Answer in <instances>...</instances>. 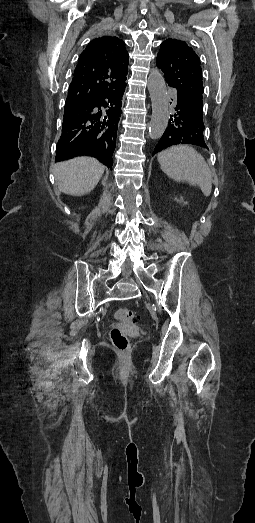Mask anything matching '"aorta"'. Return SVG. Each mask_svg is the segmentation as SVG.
Listing matches in <instances>:
<instances>
[{
  "mask_svg": "<svg viewBox=\"0 0 255 523\" xmlns=\"http://www.w3.org/2000/svg\"><path fill=\"white\" fill-rule=\"evenodd\" d=\"M147 84L152 105L149 135L151 139H159L163 135L169 121L167 88L164 78L158 69L150 71Z\"/></svg>",
  "mask_w": 255,
  "mask_h": 523,
  "instance_id": "aorta-1",
  "label": "aorta"
}]
</instances>
